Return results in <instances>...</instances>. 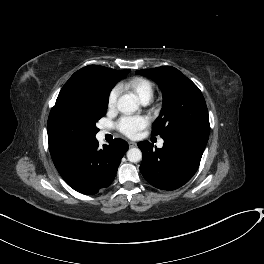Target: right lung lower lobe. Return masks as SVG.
Masks as SVG:
<instances>
[{
	"mask_svg": "<svg viewBox=\"0 0 264 264\" xmlns=\"http://www.w3.org/2000/svg\"><path fill=\"white\" fill-rule=\"evenodd\" d=\"M128 144L114 139L99 147L96 138L71 146L52 156L56 169L74 190L92 195L108 187L115 178Z\"/></svg>",
	"mask_w": 264,
	"mask_h": 264,
	"instance_id": "98d812e1",
	"label": "right lung lower lobe"
}]
</instances>
